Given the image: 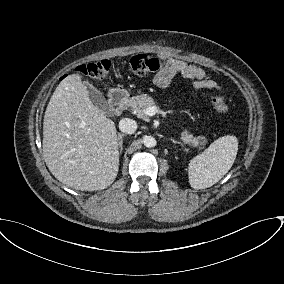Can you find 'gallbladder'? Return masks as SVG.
Returning <instances> with one entry per match:
<instances>
[{
  "mask_svg": "<svg viewBox=\"0 0 284 284\" xmlns=\"http://www.w3.org/2000/svg\"><path fill=\"white\" fill-rule=\"evenodd\" d=\"M88 95L92 103L105 114L111 113L109 105L103 94L94 88L92 85L87 84Z\"/></svg>",
  "mask_w": 284,
  "mask_h": 284,
  "instance_id": "obj_1",
  "label": "gallbladder"
}]
</instances>
